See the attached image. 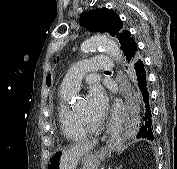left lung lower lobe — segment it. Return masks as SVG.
<instances>
[{"label":"left lung lower lobe","mask_w":177,"mask_h":169,"mask_svg":"<svg viewBox=\"0 0 177 169\" xmlns=\"http://www.w3.org/2000/svg\"><path fill=\"white\" fill-rule=\"evenodd\" d=\"M138 53V45L132 42L128 48L127 61L129 67L135 75L137 92L143 109V121L141 128L137 134V138H147L154 140V126L152 121L151 108L149 103V92L147 87L146 68L141 58L132 62ZM132 62V63H130Z\"/></svg>","instance_id":"1"}]
</instances>
